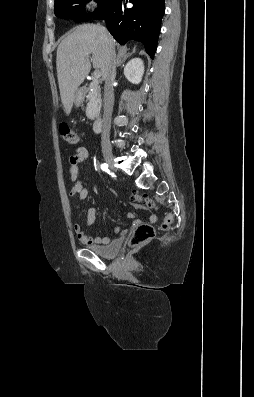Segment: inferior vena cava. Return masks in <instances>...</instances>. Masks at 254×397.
I'll list each match as a JSON object with an SVG mask.
<instances>
[{
	"label": "inferior vena cava",
	"instance_id": "1",
	"mask_svg": "<svg viewBox=\"0 0 254 397\" xmlns=\"http://www.w3.org/2000/svg\"><path fill=\"white\" fill-rule=\"evenodd\" d=\"M116 76V62L114 50H109L106 68L104 98H103V130L101 135L102 148H110L111 115L114 104L113 83Z\"/></svg>",
	"mask_w": 254,
	"mask_h": 397
}]
</instances>
